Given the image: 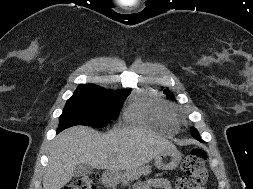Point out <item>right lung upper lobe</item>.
Segmentation results:
<instances>
[{"label":"right lung upper lobe","instance_id":"1","mask_svg":"<svg viewBox=\"0 0 253 189\" xmlns=\"http://www.w3.org/2000/svg\"><path fill=\"white\" fill-rule=\"evenodd\" d=\"M99 91H108V90H105L104 88L93 84H82L76 89L75 92H99Z\"/></svg>","mask_w":253,"mask_h":189}]
</instances>
